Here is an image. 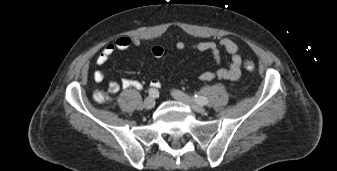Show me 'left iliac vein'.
Segmentation results:
<instances>
[{
	"label": "left iliac vein",
	"instance_id": "4c4485c4",
	"mask_svg": "<svg viewBox=\"0 0 337 171\" xmlns=\"http://www.w3.org/2000/svg\"><path fill=\"white\" fill-rule=\"evenodd\" d=\"M171 94L176 100L181 101L185 103L186 105H188L194 112H197V113L205 112V109L201 105L197 104L195 101H193L191 98H189L187 95L183 94L182 92L178 90H173Z\"/></svg>",
	"mask_w": 337,
	"mask_h": 171
}]
</instances>
